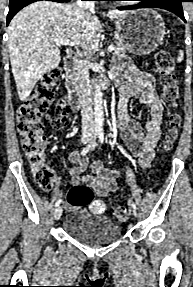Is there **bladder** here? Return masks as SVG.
I'll return each mask as SVG.
<instances>
[{"label":"bladder","mask_w":193,"mask_h":287,"mask_svg":"<svg viewBox=\"0 0 193 287\" xmlns=\"http://www.w3.org/2000/svg\"><path fill=\"white\" fill-rule=\"evenodd\" d=\"M63 230L74 239L88 245L110 243L121 236V228L105 216L87 209L68 213L63 221Z\"/></svg>","instance_id":"31cf9c89"}]
</instances>
